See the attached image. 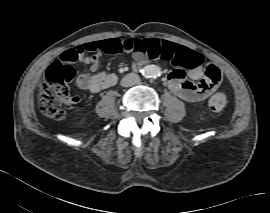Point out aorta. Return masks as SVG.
Instances as JSON below:
<instances>
[{"instance_id": "1", "label": "aorta", "mask_w": 270, "mask_h": 213, "mask_svg": "<svg viewBox=\"0 0 270 213\" xmlns=\"http://www.w3.org/2000/svg\"><path fill=\"white\" fill-rule=\"evenodd\" d=\"M160 74V69L156 65H147L143 69V75L147 78H155Z\"/></svg>"}]
</instances>
